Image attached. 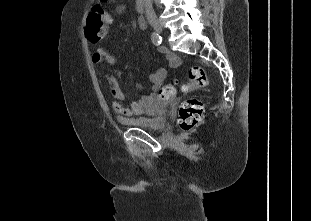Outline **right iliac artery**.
Wrapping results in <instances>:
<instances>
[{
    "label": "right iliac artery",
    "mask_w": 311,
    "mask_h": 221,
    "mask_svg": "<svg viewBox=\"0 0 311 221\" xmlns=\"http://www.w3.org/2000/svg\"><path fill=\"white\" fill-rule=\"evenodd\" d=\"M151 39H152L153 44L157 46L161 44L162 38L158 33L153 32L151 35Z\"/></svg>",
    "instance_id": "1"
}]
</instances>
